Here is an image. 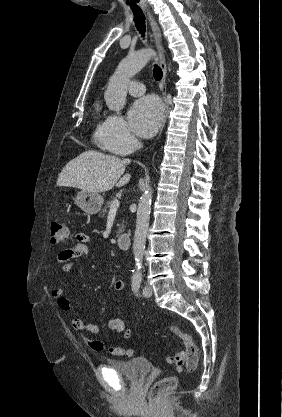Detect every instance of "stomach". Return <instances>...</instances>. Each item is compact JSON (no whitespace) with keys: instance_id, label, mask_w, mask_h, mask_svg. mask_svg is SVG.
Instances as JSON below:
<instances>
[{"instance_id":"stomach-1","label":"stomach","mask_w":282,"mask_h":417,"mask_svg":"<svg viewBox=\"0 0 282 417\" xmlns=\"http://www.w3.org/2000/svg\"><path fill=\"white\" fill-rule=\"evenodd\" d=\"M103 196L96 194V192H89V190H80L78 192L75 202L79 209H82L87 215H96L101 211L103 204Z\"/></svg>"}]
</instances>
